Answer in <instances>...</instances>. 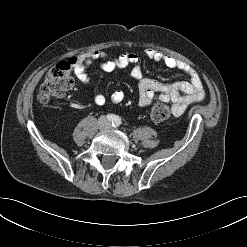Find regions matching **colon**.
I'll return each instance as SVG.
<instances>
[{
	"label": "colon",
	"mask_w": 247,
	"mask_h": 247,
	"mask_svg": "<svg viewBox=\"0 0 247 247\" xmlns=\"http://www.w3.org/2000/svg\"><path fill=\"white\" fill-rule=\"evenodd\" d=\"M83 60L72 58L58 63L50 69L38 92V101L47 104L52 99L64 97L74 86L73 69L82 64ZM172 109L166 104L155 105L150 113L153 122H163L171 115Z\"/></svg>",
	"instance_id": "1"
}]
</instances>
